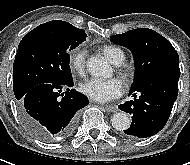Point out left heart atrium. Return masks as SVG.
<instances>
[{"label":"left heart atrium","instance_id":"left-heart-atrium-1","mask_svg":"<svg viewBox=\"0 0 190 165\" xmlns=\"http://www.w3.org/2000/svg\"><path fill=\"white\" fill-rule=\"evenodd\" d=\"M123 90V83L118 78H92L80 85V91L84 95L98 102L116 99L123 93Z\"/></svg>","mask_w":190,"mask_h":165}]
</instances>
